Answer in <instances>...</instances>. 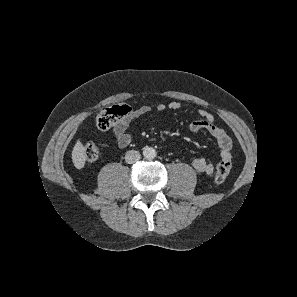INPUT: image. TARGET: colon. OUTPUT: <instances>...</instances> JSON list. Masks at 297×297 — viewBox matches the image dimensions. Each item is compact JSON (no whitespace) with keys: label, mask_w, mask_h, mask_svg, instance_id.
<instances>
[{"label":"colon","mask_w":297,"mask_h":297,"mask_svg":"<svg viewBox=\"0 0 297 297\" xmlns=\"http://www.w3.org/2000/svg\"><path fill=\"white\" fill-rule=\"evenodd\" d=\"M131 112V108L125 104L115 105L109 108H105L99 112L96 118L97 127L106 131L113 125L128 116ZM84 155L88 161H94L99 157V148L93 142H88L84 145ZM231 170V162L227 160H221L217 165V171L214 177L215 184L219 185L225 181Z\"/></svg>","instance_id":"5ec220e1"}]
</instances>
